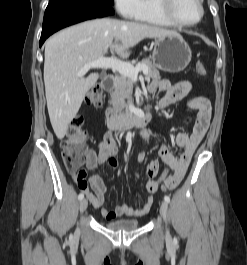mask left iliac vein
I'll return each mask as SVG.
<instances>
[{"label":"left iliac vein","mask_w":247,"mask_h":265,"mask_svg":"<svg viewBox=\"0 0 247 265\" xmlns=\"http://www.w3.org/2000/svg\"><path fill=\"white\" fill-rule=\"evenodd\" d=\"M160 214L163 217V219L165 220V222H167V218H168V205L166 202H162L161 206H160Z\"/></svg>","instance_id":"left-iliac-vein-1"}]
</instances>
